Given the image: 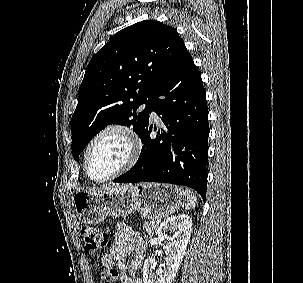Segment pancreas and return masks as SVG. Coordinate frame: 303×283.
<instances>
[{
    "mask_svg": "<svg viewBox=\"0 0 303 283\" xmlns=\"http://www.w3.org/2000/svg\"><path fill=\"white\" fill-rule=\"evenodd\" d=\"M143 229L146 230V233L151 236L154 232V230L156 229V224L154 221H146L143 224Z\"/></svg>",
    "mask_w": 303,
    "mask_h": 283,
    "instance_id": "obj_1",
    "label": "pancreas"
}]
</instances>
